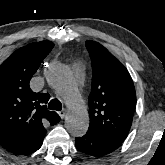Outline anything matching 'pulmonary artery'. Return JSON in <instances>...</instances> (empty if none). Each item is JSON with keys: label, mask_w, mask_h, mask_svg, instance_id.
<instances>
[{"label": "pulmonary artery", "mask_w": 165, "mask_h": 165, "mask_svg": "<svg viewBox=\"0 0 165 165\" xmlns=\"http://www.w3.org/2000/svg\"><path fill=\"white\" fill-rule=\"evenodd\" d=\"M74 69H75V71H76L77 74H79L80 71H81V67H80L79 64H75Z\"/></svg>", "instance_id": "e3ab8cb5"}]
</instances>
